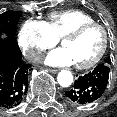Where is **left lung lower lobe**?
Listing matches in <instances>:
<instances>
[{"instance_id":"obj_1","label":"left lung lower lobe","mask_w":117,"mask_h":117,"mask_svg":"<svg viewBox=\"0 0 117 117\" xmlns=\"http://www.w3.org/2000/svg\"><path fill=\"white\" fill-rule=\"evenodd\" d=\"M110 66L99 64L93 71L80 76L65 93L67 98L78 104H88L99 99L106 90Z\"/></svg>"}]
</instances>
